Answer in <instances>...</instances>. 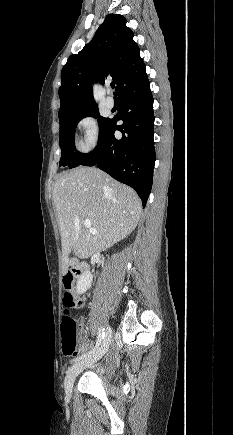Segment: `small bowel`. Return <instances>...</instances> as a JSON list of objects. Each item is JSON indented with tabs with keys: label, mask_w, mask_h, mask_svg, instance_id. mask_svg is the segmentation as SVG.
Here are the masks:
<instances>
[{
	"label": "small bowel",
	"mask_w": 233,
	"mask_h": 435,
	"mask_svg": "<svg viewBox=\"0 0 233 435\" xmlns=\"http://www.w3.org/2000/svg\"><path fill=\"white\" fill-rule=\"evenodd\" d=\"M72 295H74L73 292ZM82 306H83V302H82ZM78 344L84 350H86L90 345L87 337V330L84 325V321L82 319L79 320Z\"/></svg>",
	"instance_id": "c3829d8e"
}]
</instances>
